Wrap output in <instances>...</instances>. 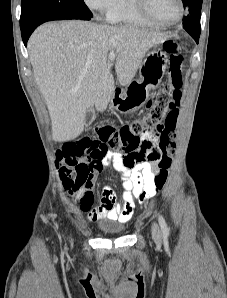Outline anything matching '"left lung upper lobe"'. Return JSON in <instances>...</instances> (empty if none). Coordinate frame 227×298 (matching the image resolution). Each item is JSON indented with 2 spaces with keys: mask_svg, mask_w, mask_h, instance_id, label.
I'll return each instance as SVG.
<instances>
[{
  "mask_svg": "<svg viewBox=\"0 0 227 298\" xmlns=\"http://www.w3.org/2000/svg\"><path fill=\"white\" fill-rule=\"evenodd\" d=\"M203 0H182L184 8L189 12L184 18V29L194 38L200 36L201 6Z\"/></svg>",
  "mask_w": 227,
  "mask_h": 298,
  "instance_id": "left-lung-upper-lobe-1",
  "label": "left lung upper lobe"
}]
</instances>
